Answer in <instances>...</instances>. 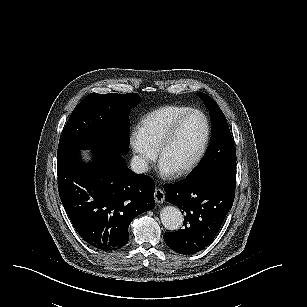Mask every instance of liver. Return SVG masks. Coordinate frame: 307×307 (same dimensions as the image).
I'll list each match as a JSON object with an SVG mask.
<instances>
[{
  "label": "liver",
  "instance_id": "liver-1",
  "mask_svg": "<svg viewBox=\"0 0 307 307\" xmlns=\"http://www.w3.org/2000/svg\"><path fill=\"white\" fill-rule=\"evenodd\" d=\"M83 159L88 161L90 160L89 151H82Z\"/></svg>",
  "mask_w": 307,
  "mask_h": 307
}]
</instances>
